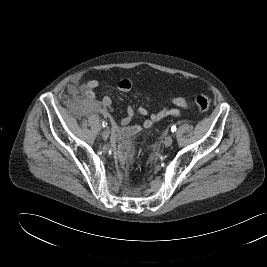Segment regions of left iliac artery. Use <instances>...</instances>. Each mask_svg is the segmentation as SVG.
I'll return each mask as SVG.
<instances>
[{"mask_svg":"<svg viewBox=\"0 0 267 267\" xmlns=\"http://www.w3.org/2000/svg\"><path fill=\"white\" fill-rule=\"evenodd\" d=\"M176 130H177V127H176L175 125H173V126L171 127V132L174 133Z\"/></svg>","mask_w":267,"mask_h":267,"instance_id":"obj_1","label":"left iliac artery"}]
</instances>
